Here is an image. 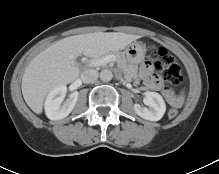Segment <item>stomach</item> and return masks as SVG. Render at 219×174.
Segmentation results:
<instances>
[{"label":"stomach","instance_id":"stomach-1","mask_svg":"<svg viewBox=\"0 0 219 174\" xmlns=\"http://www.w3.org/2000/svg\"><path fill=\"white\" fill-rule=\"evenodd\" d=\"M125 56L129 63L138 64L145 57V48L138 42L130 43L125 49Z\"/></svg>","mask_w":219,"mask_h":174}]
</instances>
